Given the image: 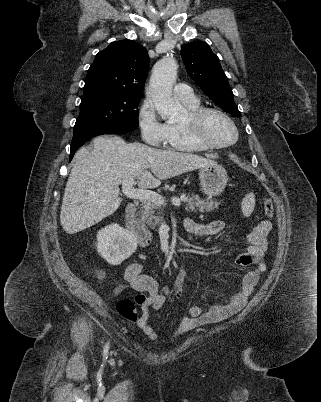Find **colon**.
Wrapping results in <instances>:
<instances>
[{"label": "colon", "mask_w": 321, "mask_h": 402, "mask_svg": "<svg viewBox=\"0 0 321 402\" xmlns=\"http://www.w3.org/2000/svg\"><path fill=\"white\" fill-rule=\"evenodd\" d=\"M263 210L266 216L272 217L274 207L270 199L263 202ZM146 301L144 294H138L134 299L123 298L117 305L118 313L127 320L136 321L138 318L136 306L143 304Z\"/></svg>", "instance_id": "obj_1"}]
</instances>
